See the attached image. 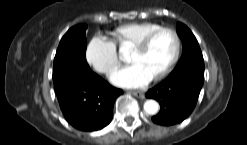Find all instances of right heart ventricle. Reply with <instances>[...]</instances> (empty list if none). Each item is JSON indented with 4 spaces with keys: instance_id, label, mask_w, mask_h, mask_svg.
<instances>
[{
    "instance_id": "obj_1",
    "label": "right heart ventricle",
    "mask_w": 247,
    "mask_h": 145,
    "mask_svg": "<svg viewBox=\"0 0 247 145\" xmlns=\"http://www.w3.org/2000/svg\"><path fill=\"white\" fill-rule=\"evenodd\" d=\"M159 24L152 22H131L120 25L110 31L112 43L120 48L133 47L150 32L158 29Z\"/></svg>"
}]
</instances>
